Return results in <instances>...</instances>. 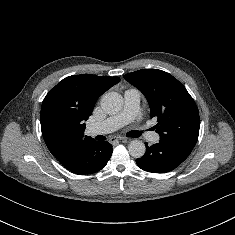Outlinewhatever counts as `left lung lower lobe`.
Wrapping results in <instances>:
<instances>
[{
	"label": "left lung lower lobe",
	"instance_id": "obj_1",
	"mask_svg": "<svg viewBox=\"0 0 235 235\" xmlns=\"http://www.w3.org/2000/svg\"><path fill=\"white\" fill-rule=\"evenodd\" d=\"M146 144V153L136 160L137 165L152 173H165L178 167L193 150L187 144L161 140L152 146Z\"/></svg>",
	"mask_w": 235,
	"mask_h": 235
}]
</instances>
